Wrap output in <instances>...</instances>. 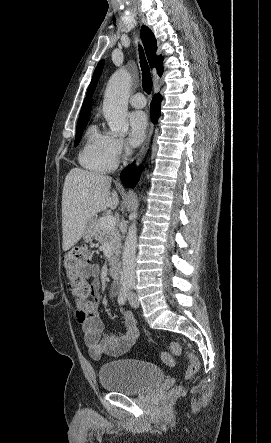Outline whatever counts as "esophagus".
<instances>
[{
  "label": "esophagus",
  "instance_id": "1",
  "mask_svg": "<svg viewBox=\"0 0 271 443\" xmlns=\"http://www.w3.org/2000/svg\"><path fill=\"white\" fill-rule=\"evenodd\" d=\"M152 134H153V125L151 123L150 126H149V129H148V134H147V138L145 140V143L142 146V148H141V150H140V152L138 154V157H137L138 162L141 161L142 158L145 156V154H146V152H147V150L149 148V145H150Z\"/></svg>",
  "mask_w": 271,
  "mask_h": 443
}]
</instances>
